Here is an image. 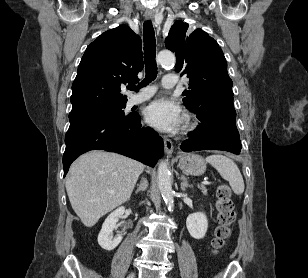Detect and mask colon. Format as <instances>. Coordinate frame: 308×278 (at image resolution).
I'll list each match as a JSON object with an SVG mask.
<instances>
[{"label": "colon", "instance_id": "colon-1", "mask_svg": "<svg viewBox=\"0 0 308 278\" xmlns=\"http://www.w3.org/2000/svg\"><path fill=\"white\" fill-rule=\"evenodd\" d=\"M216 196L218 225L215 230L212 247L214 252H219L226 245L231 235V228L235 221V211L231 190L227 185L219 186Z\"/></svg>", "mask_w": 308, "mask_h": 278}]
</instances>
